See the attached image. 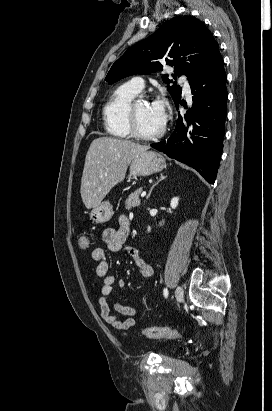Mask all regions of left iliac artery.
I'll return each mask as SVG.
<instances>
[{
	"label": "left iliac artery",
	"instance_id": "1",
	"mask_svg": "<svg viewBox=\"0 0 272 411\" xmlns=\"http://www.w3.org/2000/svg\"><path fill=\"white\" fill-rule=\"evenodd\" d=\"M163 294H164V297H165V298L168 297V290H167V288L164 289Z\"/></svg>",
	"mask_w": 272,
	"mask_h": 411
}]
</instances>
